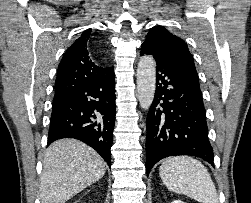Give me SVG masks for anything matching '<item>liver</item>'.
<instances>
[{
    "label": "liver",
    "mask_w": 251,
    "mask_h": 203,
    "mask_svg": "<svg viewBox=\"0 0 251 203\" xmlns=\"http://www.w3.org/2000/svg\"><path fill=\"white\" fill-rule=\"evenodd\" d=\"M105 171V162L91 147L75 139L58 140L44 155L41 203H65L100 180Z\"/></svg>",
    "instance_id": "obj_1"
}]
</instances>
